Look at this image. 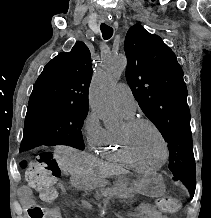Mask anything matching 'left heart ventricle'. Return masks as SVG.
<instances>
[{
    "instance_id": "left-heart-ventricle-1",
    "label": "left heart ventricle",
    "mask_w": 211,
    "mask_h": 218,
    "mask_svg": "<svg viewBox=\"0 0 211 218\" xmlns=\"http://www.w3.org/2000/svg\"><path fill=\"white\" fill-rule=\"evenodd\" d=\"M131 147L135 157L143 163L156 165L162 160L159 137L148 125H140L132 132Z\"/></svg>"
}]
</instances>
